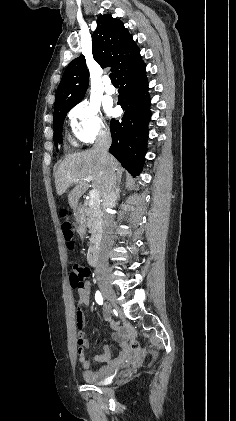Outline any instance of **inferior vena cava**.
<instances>
[{
	"label": "inferior vena cava",
	"instance_id": "inferior-vena-cava-1",
	"mask_svg": "<svg viewBox=\"0 0 236 421\" xmlns=\"http://www.w3.org/2000/svg\"><path fill=\"white\" fill-rule=\"evenodd\" d=\"M111 146V134L109 128L106 126H99L96 142L94 148L101 154L102 162H106L109 158L108 148ZM116 172H110V180L106 184L105 192L103 194L104 206V235L101 243L99 261L97 265V273H104L108 267V257L105 253L112 245L113 241V215L108 213V208L113 211L117 202V188H116Z\"/></svg>",
	"mask_w": 236,
	"mask_h": 421
}]
</instances>
